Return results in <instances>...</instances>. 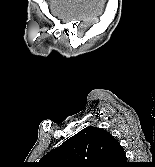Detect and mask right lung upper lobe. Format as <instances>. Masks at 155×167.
Returning <instances> with one entry per match:
<instances>
[{
  "mask_svg": "<svg viewBox=\"0 0 155 167\" xmlns=\"http://www.w3.org/2000/svg\"><path fill=\"white\" fill-rule=\"evenodd\" d=\"M125 160L118 141L97 127L81 130L42 158L46 167H118Z\"/></svg>",
  "mask_w": 155,
  "mask_h": 167,
  "instance_id": "cb5924a9",
  "label": "right lung upper lobe"
}]
</instances>
